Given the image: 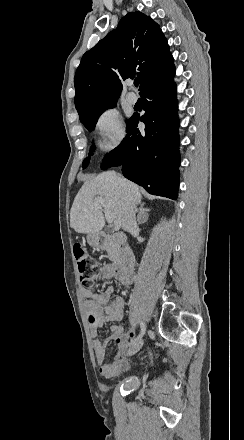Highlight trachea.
Listing matches in <instances>:
<instances>
[{"instance_id":"obj_1","label":"trachea","mask_w":244,"mask_h":440,"mask_svg":"<svg viewBox=\"0 0 244 440\" xmlns=\"http://www.w3.org/2000/svg\"><path fill=\"white\" fill-rule=\"evenodd\" d=\"M139 80H134V85L136 86V87H138V85H139Z\"/></svg>"}]
</instances>
